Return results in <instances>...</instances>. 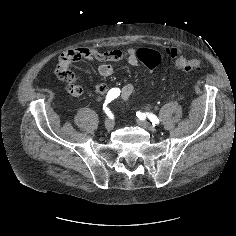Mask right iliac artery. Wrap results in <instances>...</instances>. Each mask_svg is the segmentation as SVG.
I'll return each instance as SVG.
<instances>
[{
    "label": "right iliac artery",
    "mask_w": 236,
    "mask_h": 236,
    "mask_svg": "<svg viewBox=\"0 0 236 236\" xmlns=\"http://www.w3.org/2000/svg\"><path fill=\"white\" fill-rule=\"evenodd\" d=\"M119 95H120V89L119 88H112L107 93L105 103L103 104V109L107 114L110 112L109 108L106 107L107 104L110 103L111 101H113L114 99H116Z\"/></svg>",
    "instance_id": "82829eb1"
}]
</instances>
